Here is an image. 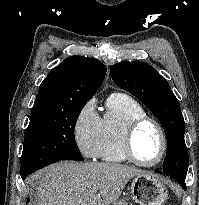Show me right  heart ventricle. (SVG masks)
Wrapping results in <instances>:
<instances>
[{"mask_svg": "<svg viewBox=\"0 0 199 205\" xmlns=\"http://www.w3.org/2000/svg\"><path fill=\"white\" fill-rule=\"evenodd\" d=\"M144 115V109L132 97L122 93L111 94L100 119L98 157L112 164L127 162L122 150L124 130L132 120Z\"/></svg>", "mask_w": 199, "mask_h": 205, "instance_id": "1", "label": "right heart ventricle"}]
</instances>
